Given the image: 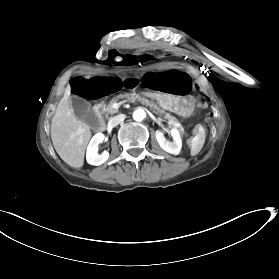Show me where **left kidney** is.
I'll use <instances>...</instances> for the list:
<instances>
[{
	"instance_id": "left-kidney-1",
	"label": "left kidney",
	"mask_w": 279,
	"mask_h": 279,
	"mask_svg": "<svg viewBox=\"0 0 279 279\" xmlns=\"http://www.w3.org/2000/svg\"><path fill=\"white\" fill-rule=\"evenodd\" d=\"M170 124L173 126L170 131L173 141L171 142L167 140L164 136V133L159 130L156 131V139L163 150L170 154L178 155L182 147V140L180 136V130L182 126L179 122L176 121H172Z\"/></svg>"
}]
</instances>
